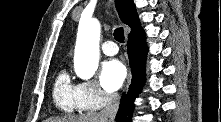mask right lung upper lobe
Returning <instances> with one entry per match:
<instances>
[{"mask_svg":"<svg viewBox=\"0 0 221 122\" xmlns=\"http://www.w3.org/2000/svg\"><path fill=\"white\" fill-rule=\"evenodd\" d=\"M116 7L122 22L131 28L130 34L141 29L133 0H116Z\"/></svg>","mask_w":221,"mask_h":122,"instance_id":"obj_1","label":"right lung upper lobe"}]
</instances>
